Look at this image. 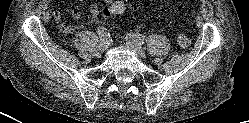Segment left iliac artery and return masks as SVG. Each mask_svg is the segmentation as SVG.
Returning a JSON list of instances; mask_svg holds the SVG:
<instances>
[{
    "label": "left iliac artery",
    "instance_id": "obj_1",
    "mask_svg": "<svg viewBox=\"0 0 249 123\" xmlns=\"http://www.w3.org/2000/svg\"><path fill=\"white\" fill-rule=\"evenodd\" d=\"M131 37H133L134 39H136L140 44H145L146 43V38L145 36L138 34V33H130L129 34Z\"/></svg>",
    "mask_w": 249,
    "mask_h": 123
}]
</instances>
